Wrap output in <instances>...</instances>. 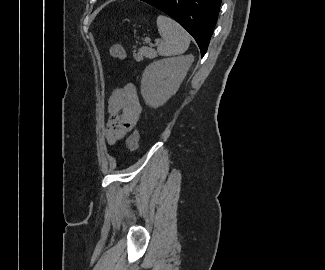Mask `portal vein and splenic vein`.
<instances>
[{
	"mask_svg": "<svg viewBox=\"0 0 325 270\" xmlns=\"http://www.w3.org/2000/svg\"><path fill=\"white\" fill-rule=\"evenodd\" d=\"M145 42L148 43L150 46L153 45V44L151 43L150 38H146V39H145ZM160 42H162V40H156V41H155V44L157 45V44H159Z\"/></svg>",
	"mask_w": 325,
	"mask_h": 270,
	"instance_id": "1",
	"label": "portal vein and splenic vein"
}]
</instances>
